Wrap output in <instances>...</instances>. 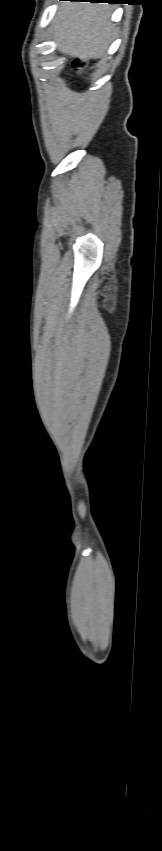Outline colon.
I'll list each match as a JSON object with an SVG mask.
<instances>
[{
	"instance_id": "colon-1",
	"label": "colon",
	"mask_w": 162,
	"mask_h": 851,
	"mask_svg": "<svg viewBox=\"0 0 162 851\" xmlns=\"http://www.w3.org/2000/svg\"><path fill=\"white\" fill-rule=\"evenodd\" d=\"M88 66L87 62L82 59H76L73 62V68L75 71H81Z\"/></svg>"
}]
</instances>
